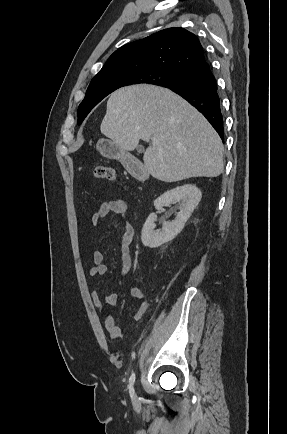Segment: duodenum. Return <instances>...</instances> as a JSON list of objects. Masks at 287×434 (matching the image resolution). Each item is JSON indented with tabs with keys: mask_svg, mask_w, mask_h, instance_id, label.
I'll return each mask as SVG.
<instances>
[{
	"mask_svg": "<svg viewBox=\"0 0 287 434\" xmlns=\"http://www.w3.org/2000/svg\"><path fill=\"white\" fill-rule=\"evenodd\" d=\"M126 162L130 166L131 171L136 178L142 179L145 177L146 171L141 166H139L135 161H133L130 158H127Z\"/></svg>",
	"mask_w": 287,
	"mask_h": 434,
	"instance_id": "duodenum-1",
	"label": "duodenum"
}]
</instances>
